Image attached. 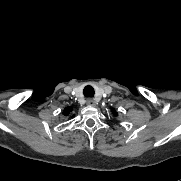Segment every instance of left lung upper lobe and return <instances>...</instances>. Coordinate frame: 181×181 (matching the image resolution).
<instances>
[{"instance_id":"left-lung-upper-lobe-1","label":"left lung upper lobe","mask_w":181,"mask_h":181,"mask_svg":"<svg viewBox=\"0 0 181 181\" xmlns=\"http://www.w3.org/2000/svg\"><path fill=\"white\" fill-rule=\"evenodd\" d=\"M112 113H113L115 116H117V115H118V113L116 112V110H115V109H112Z\"/></svg>"}]
</instances>
